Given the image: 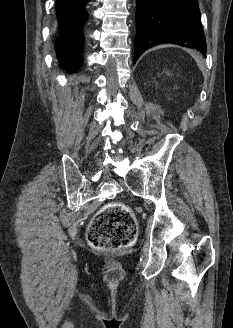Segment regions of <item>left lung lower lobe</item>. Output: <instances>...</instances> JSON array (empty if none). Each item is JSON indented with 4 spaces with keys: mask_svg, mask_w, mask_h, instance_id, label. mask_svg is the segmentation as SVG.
Masks as SVG:
<instances>
[{
    "mask_svg": "<svg viewBox=\"0 0 233 328\" xmlns=\"http://www.w3.org/2000/svg\"><path fill=\"white\" fill-rule=\"evenodd\" d=\"M134 61L162 43L196 47L206 53L197 0H137Z\"/></svg>",
    "mask_w": 233,
    "mask_h": 328,
    "instance_id": "left-lung-lower-lobe-1",
    "label": "left lung lower lobe"
}]
</instances>
